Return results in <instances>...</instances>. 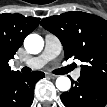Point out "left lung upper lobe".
<instances>
[{
    "instance_id": "1",
    "label": "left lung upper lobe",
    "mask_w": 107,
    "mask_h": 107,
    "mask_svg": "<svg viewBox=\"0 0 107 107\" xmlns=\"http://www.w3.org/2000/svg\"><path fill=\"white\" fill-rule=\"evenodd\" d=\"M40 24L60 39L66 59L84 63L80 77L107 84L106 20L74 11L44 18Z\"/></svg>"
}]
</instances>
